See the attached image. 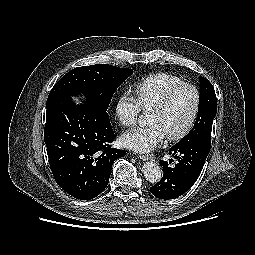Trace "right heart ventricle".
Listing matches in <instances>:
<instances>
[{
	"label": "right heart ventricle",
	"instance_id": "right-heart-ventricle-1",
	"mask_svg": "<svg viewBox=\"0 0 255 255\" xmlns=\"http://www.w3.org/2000/svg\"><path fill=\"white\" fill-rule=\"evenodd\" d=\"M180 83L182 80L172 74L149 75L135 85L136 100L142 110L149 111L168 89Z\"/></svg>",
	"mask_w": 255,
	"mask_h": 255
}]
</instances>
